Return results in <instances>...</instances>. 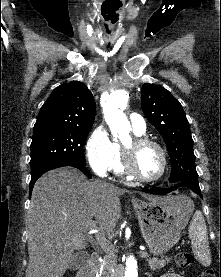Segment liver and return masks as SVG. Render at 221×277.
<instances>
[{
    "label": "liver",
    "instance_id": "liver-1",
    "mask_svg": "<svg viewBox=\"0 0 221 277\" xmlns=\"http://www.w3.org/2000/svg\"><path fill=\"white\" fill-rule=\"evenodd\" d=\"M125 192L111 183L91 182L71 167L41 176L34 185L28 211L26 277H62L74 251L85 248L93 218L104 233L113 231L120 216V196ZM140 195L165 204L180 199Z\"/></svg>",
    "mask_w": 221,
    "mask_h": 277
}]
</instances>
